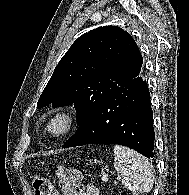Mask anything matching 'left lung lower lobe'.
<instances>
[{
  "instance_id": "1",
  "label": "left lung lower lobe",
  "mask_w": 189,
  "mask_h": 195,
  "mask_svg": "<svg viewBox=\"0 0 189 195\" xmlns=\"http://www.w3.org/2000/svg\"><path fill=\"white\" fill-rule=\"evenodd\" d=\"M152 119L148 86L138 76L116 89L62 147L119 144L153 158L155 134Z\"/></svg>"
}]
</instances>
